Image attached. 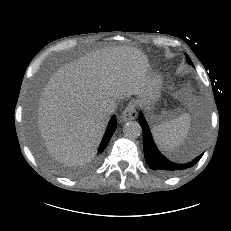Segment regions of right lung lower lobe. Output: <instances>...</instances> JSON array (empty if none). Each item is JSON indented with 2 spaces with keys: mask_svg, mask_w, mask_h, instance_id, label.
Masks as SVG:
<instances>
[{
  "mask_svg": "<svg viewBox=\"0 0 231 231\" xmlns=\"http://www.w3.org/2000/svg\"><path fill=\"white\" fill-rule=\"evenodd\" d=\"M117 124H116V118L115 116H113L108 124L107 130L105 132V135L102 139V142L100 144L99 147V153H101L107 146L110 138L112 137V134L114 133V131L116 130Z\"/></svg>",
  "mask_w": 231,
  "mask_h": 231,
  "instance_id": "obj_1",
  "label": "right lung lower lobe"
}]
</instances>
